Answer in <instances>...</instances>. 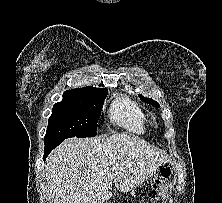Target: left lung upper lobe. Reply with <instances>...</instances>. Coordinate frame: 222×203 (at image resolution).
<instances>
[{
	"mask_svg": "<svg viewBox=\"0 0 222 203\" xmlns=\"http://www.w3.org/2000/svg\"><path fill=\"white\" fill-rule=\"evenodd\" d=\"M139 97H140V99H141L142 101H144V102H146V103L153 104V105L156 106V107H160V105L158 104V102H156V101H154V100H152V99L145 98V97H143L142 95H140Z\"/></svg>",
	"mask_w": 222,
	"mask_h": 203,
	"instance_id": "1",
	"label": "left lung upper lobe"
}]
</instances>
